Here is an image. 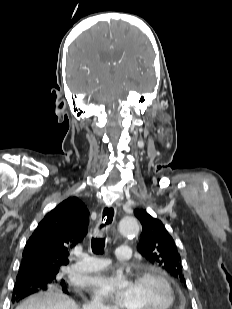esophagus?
<instances>
[{"label":"esophagus","instance_id":"34e87169","mask_svg":"<svg viewBox=\"0 0 232 309\" xmlns=\"http://www.w3.org/2000/svg\"><path fill=\"white\" fill-rule=\"evenodd\" d=\"M116 209L113 205H106L102 211L97 222L94 233L98 236H102L105 232H107L115 221Z\"/></svg>","mask_w":232,"mask_h":309}]
</instances>
